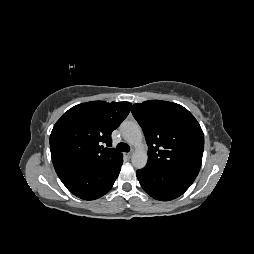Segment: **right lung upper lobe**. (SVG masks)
Instances as JSON below:
<instances>
[{
    "instance_id": "right-lung-upper-lobe-1",
    "label": "right lung upper lobe",
    "mask_w": 254,
    "mask_h": 254,
    "mask_svg": "<svg viewBox=\"0 0 254 254\" xmlns=\"http://www.w3.org/2000/svg\"><path fill=\"white\" fill-rule=\"evenodd\" d=\"M130 107L129 102L92 101L65 112L50 135L56 173L72 167L101 165L121 157V153L109 148L111 133L127 117Z\"/></svg>"
}]
</instances>
